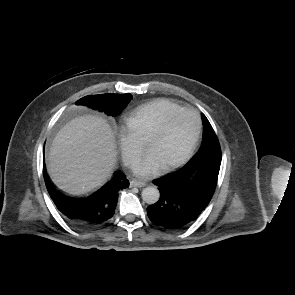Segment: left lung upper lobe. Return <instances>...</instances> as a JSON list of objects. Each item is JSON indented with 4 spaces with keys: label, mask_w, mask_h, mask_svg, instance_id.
<instances>
[{
    "label": "left lung upper lobe",
    "mask_w": 295,
    "mask_h": 295,
    "mask_svg": "<svg viewBox=\"0 0 295 295\" xmlns=\"http://www.w3.org/2000/svg\"><path fill=\"white\" fill-rule=\"evenodd\" d=\"M203 122V142L200 152L191 160V164L206 155H221V148L218 138L209 123L208 119L202 114ZM189 163V164H190Z\"/></svg>",
    "instance_id": "5c2ea615"
}]
</instances>
